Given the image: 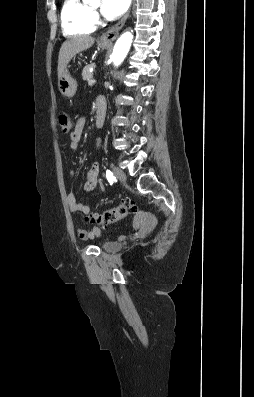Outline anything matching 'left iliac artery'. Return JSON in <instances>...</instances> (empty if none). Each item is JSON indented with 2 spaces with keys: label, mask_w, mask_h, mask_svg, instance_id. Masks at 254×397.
<instances>
[{
  "label": "left iliac artery",
  "mask_w": 254,
  "mask_h": 397,
  "mask_svg": "<svg viewBox=\"0 0 254 397\" xmlns=\"http://www.w3.org/2000/svg\"><path fill=\"white\" fill-rule=\"evenodd\" d=\"M106 178L110 184H113V182L115 181V177L110 170H106Z\"/></svg>",
  "instance_id": "1"
}]
</instances>
